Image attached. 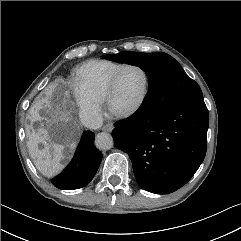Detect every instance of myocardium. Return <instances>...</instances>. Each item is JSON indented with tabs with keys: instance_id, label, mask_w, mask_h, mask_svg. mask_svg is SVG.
Here are the masks:
<instances>
[{
	"instance_id": "1",
	"label": "myocardium",
	"mask_w": 241,
	"mask_h": 241,
	"mask_svg": "<svg viewBox=\"0 0 241 241\" xmlns=\"http://www.w3.org/2000/svg\"><path fill=\"white\" fill-rule=\"evenodd\" d=\"M128 68H138L143 72V74L145 76L144 88H143L141 96L139 97V99L133 106H131L130 108H128L126 110L118 111V110L114 109V107L112 105V99H113V96L115 93L116 84H117L119 76L121 75V73L124 70H126ZM149 89H150V75H149L148 70L140 64L127 63V64H124L121 68H119L115 72V74L112 76V78L108 84L104 100H105L108 110L114 116H116L118 118H129V117L135 115L143 107V105L146 102V99L148 97Z\"/></svg>"
}]
</instances>
